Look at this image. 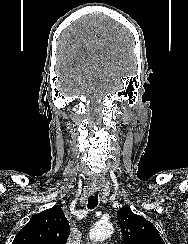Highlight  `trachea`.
<instances>
[{"instance_id":"trachea-1","label":"trachea","mask_w":188,"mask_h":244,"mask_svg":"<svg viewBox=\"0 0 188 244\" xmlns=\"http://www.w3.org/2000/svg\"><path fill=\"white\" fill-rule=\"evenodd\" d=\"M98 205V194L91 195L88 198V209H93Z\"/></svg>"}]
</instances>
